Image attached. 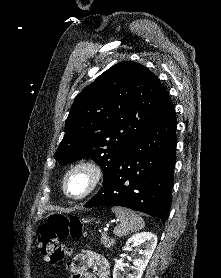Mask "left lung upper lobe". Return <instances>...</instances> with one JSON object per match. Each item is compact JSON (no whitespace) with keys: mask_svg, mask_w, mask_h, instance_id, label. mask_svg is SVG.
<instances>
[{"mask_svg":"<svg viewBox=\"0 0 221 278\" xmlns=\"http://www.w3.org/2000/svg\"><path fill=\"white\" fill-rule=\"evenodd\" d=\"M172 105L152 72L139 63L120 62L77 95L55 158L61 165L92 158L105 177L122 151Z\"/></svg>","mask_w":221,"mask_h":278,"instance_id":"left-lung-upper-lobe-1","label":"left lung upper lobe"}]
</instances>
